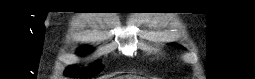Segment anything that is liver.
Instances as JSON below:
<instances>
[{
	"label": "liver",
	"mask_w": 255,
	"mask_h": 79,
	"mask_svg": "<svg viewBox=\"0 0 255 79\" xmlns=\"http://www.w3.org/2000/svg\"><path fill=\"white\" fill-rule=\"evenodd\" d=\"M121 79H141V78L138 76H124V77H121Z\"/></svg>",
	"instance_id": "liver-1"
}]
</instances>
